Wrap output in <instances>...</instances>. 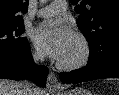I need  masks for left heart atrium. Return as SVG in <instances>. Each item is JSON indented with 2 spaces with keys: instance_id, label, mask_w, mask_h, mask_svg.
I'll use <instances>...</instances> for the list:
<instances>
[{
  "instance_id": "left-heart-atrium-1",
  "label": "left heart atrium",
  "mask_w": 119,
  "mask_h": 95,
  "mask_svg": "<svg viewBox=\"0 0 119 95\" xmlns=\"http://www.w3.org/2000/svg\"><path fill=\"white\" fill-rule=\"evenodd\" d=\"M73 37L72 31L67 25L54 21L41 24L34 33L36 45L57 60L63 57Z\"/></svg>"
}]
</instances>
